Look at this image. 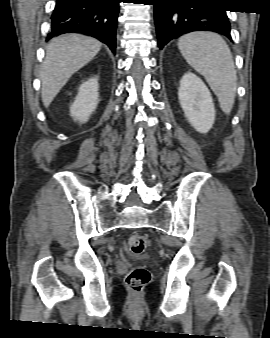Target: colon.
I'll use <instances>...</instances> for the list:
<instances>
[{
    "label": "colon",
    "instance_id": "5ec220e1",
    "mask_svg": "<svg viewBox=\"0 0 270 338\" xmlns=\"http://www.w3.org/2000/svg\"><path fill=\"white\" fill-rule=\"evenodd\" d=\"M128 246L130 251L135 256H140L144 253L147 240L144 235H132L128 239ZM150 281V273L147 269L136 266L133 267L126 275V284L133 292L142 291Z\"/></svg>",
    "mask_w": 270,
    "mask_h": 338
}]
</instances>
